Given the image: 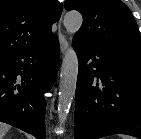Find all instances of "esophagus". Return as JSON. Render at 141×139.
<instances>
[{
  "instance_id": "1",
  "label": "esophagus",
  "mask_w": 141,
  "mask_h": 139,
  "mask_svg": "<svg viewBox=\"0 0 141 139\" xmlns=\"http://www.w3.org/2000/svg\"><path fill=\"white\" fill-rule=\"evenodd\" d=\"M59 41H60L62 53H65V51L68 48V41H67L65 35H63L61 32L59 33Z\"/></svg>"
}]
</instances>
